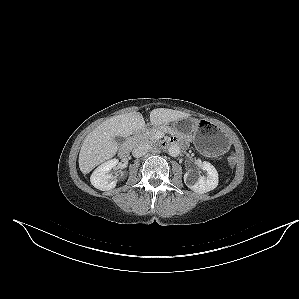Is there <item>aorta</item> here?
I'll list each match as a JSON object with an SVG mask.
<instances>
[{
    "mask_svg": "<svg viewBox=\"0 0 299 299\" xmlns=\"http://www.w3.org/2000/svg\"><path fill=\"white\" fill-rule=\"evenodd\" d=\"M168 154L172 157H177L180 154V147L176 144L168 148Z\"/></svg>",
    "mask_w": 299,
    "mask_h": 299,
    "instance_id": "762f6f07",
    "label": "aorta"
}]
</instances>
